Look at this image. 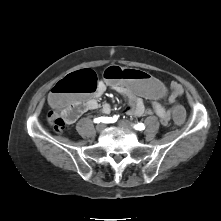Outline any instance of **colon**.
Here are the masks:
<instances>
[{
    "mask_svg": "<svg viewBox=\"0 0 221 221\" xmlns=\"http://www.w3.org/2000/svg\"><path fill=\"white\" fill-rule=\"evenodd\" d=\"M105 81L111 85L123 84L140 97L154 101L162 99L167 92L164 81L150 72L130 68L124 70L121 66L109 67L104 75ZM97 87V76L90 69H83L69 74L59 81L51 90L49 103L53 111L49 113V121L57 133H61L71 125V117L77 111V99ZM169 119L173 125H182L188 119V111L183 104H172Z\"/></svg>",
    "mask_w": 221,
    "mask_h": 221,
    "instance_id": "obj_1",
    "label": "colon"
}]
</instances>
